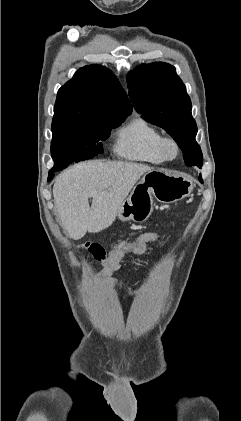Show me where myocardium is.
Segmentation results:
<instances>
[{
    "mask_svg": "<svg viewBox=\"0 0 241 421\" xmlns=\"http://www.w3.org/2000/svg\"><path fill=\"white\" fill-rule=\"evenodd\" d=\"M159 150L165 160H172L180 153V146L175 138L162 136L159 143Z\"/></svg>",
    "mask_w": 241,
    "mask_h": 421,
    "instance_id": "1",
    "label": "myocardium"
}]
</instances>
